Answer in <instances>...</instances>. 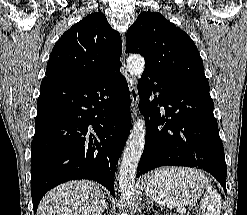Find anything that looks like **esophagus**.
<instances>
[{"label":"esophagus","instance_id":"obj_1","mask_svg":"<svg viewBox=\"0 0 247 215\" xmlns=\"http://www.w3.org/2000/svg\"><path fill=\"white\" fill-rule=\"evenodd\" d=\"M124 45H125V42L123 39V56L125 54ZM127 83H128L130 97H131L132 117L134 119L137 115V106H138V101H139V96H138V91H137V82L135 78L131 76H127Z\"/></svg>","mask_w":247,"mask_h":215}]
</instances>
